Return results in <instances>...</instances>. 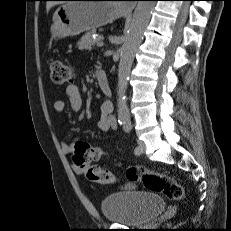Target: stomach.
Returning a JSON list of instances; mask_svg holds the SVG:
<instances>
[{
  "mask_svg": "<svg viewBox=\"0 0 231 231\" xmlns=\"http://www.w3.org/2000/svg\"><path fill=\"white\" fill-rule=\"evenodd\" d=\"M120 4L98 0L66 2L53 14L51 34L53 38L75 36L84 31L112 23L123 16Z\"/></svg>",
  "mask_w": 231,
  "mask_h": 231,
  "instance_id": "0dacf381",
  "label": "stomach"
}]
</instances>
